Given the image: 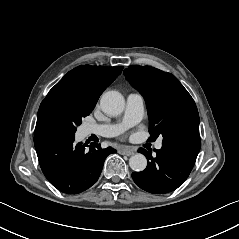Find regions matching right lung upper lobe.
I'll return each instance as SVG.
<instances>
[{
	"instance_id": "1",
	"label": "right lung upper lobe",
	"mask_w": 239,
	"mask_h": 239,
	"mask_svg": "<svg viewBox=\"0 0 239 239\" xmlns=\"http://www.w3.org/2000/svg\"><path fill=\"white\" fill-rule=\"evenodd\" d=\"M123 67L83 65L69 71L53 89L63 88L77 98L96 105L102 92L121 73Z\"/></svg>"
}]
</instances>
